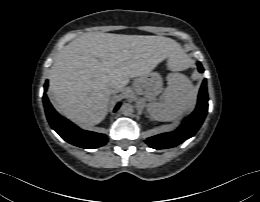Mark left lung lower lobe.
<instances>
[{
    "label": "left lung lower lobe",
    "mask_w": 260,
    "mask_h": 202,
    "mask_svg": "<svg viewBox=\"0 0 260 202\" xmlns=\"http://www.w3.org/2000/svg\"><path fill=\"white\" fill-rule=\"evenodd\" d=\"M199 71L202 73L203 67L200 62L197 63ZM208 111V94L206 79H204L200 88L198 103L196 109L190 114L174 132L159 134L147 138L146 143L154 149L172 148L184 139L191 138L202 125Z\"/></svg>",
    "instance_id": "0a47b994"
}]
</instances>
